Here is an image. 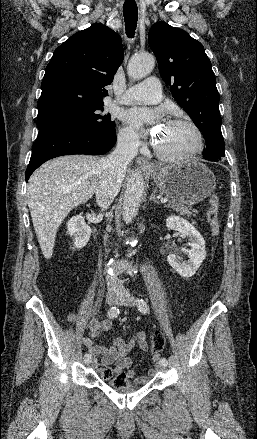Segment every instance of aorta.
I'll use <instances>...</instances> for the list:
<instances>
[{"label": "aorta", "instance_id": "obj_1", "mask_svg": "<svg viewBox=\"0 0 257 439\" xmlns=\"http://www.w3.org/2000/svg\"><path fill=\"white\" fill-rule=\"evenodd\" d=\"M153 67V56L149 54L135 55L130 59L127 71L131 78L139 80L150 74ZM143 190V176L139 171H135L132 173L124 193L122 216L127 224L132 222L138 213Z\"/></svg>", "mask_w": 257, "mask_h": 439}]
</instances>
